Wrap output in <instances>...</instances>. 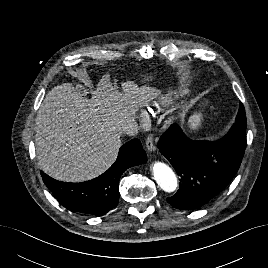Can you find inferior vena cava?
<instances>
[{"instance_id": "602c4592", "label": "inferior vena cava", "mask_w": 268, "mask_h": 268, "mask_svg": "<svg viewBox=\"0 0 268 268\" xmlns=\"http://www.w3.org/2000/svg\"><path fill=\"white\" fill-rule=\"evenodd\" d=\"M139 127L136 123L123 127V133L128 136H135L138 133Z\"/></svg>"}]
</instances>
